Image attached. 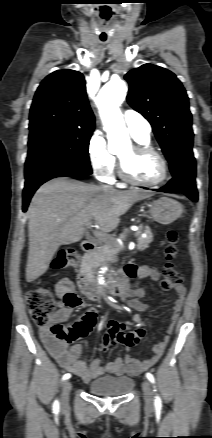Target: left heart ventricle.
I'll return each mask as SVG.
<instances>
[{"instance_id":"left-heart-ventricle-1","label":"left heart ventricle","mask_w":212,"mask_h":438,"mask_svg":"<svg viewBox=\"0 0 212 438\" xmlns=\"http://www.w3.org/2000/svg\"><path fill=\"white\" fill-rule=\"evenodd\" d=\"M129 175L142 182H153L162 175L159 159L152 154L135 153L132 146L119 154Z\"/></svg>"}]
</instances>
